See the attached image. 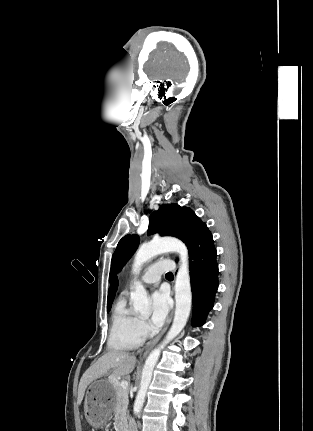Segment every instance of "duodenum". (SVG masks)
<instances>
[{
  "label": "duodenum",
  "mask_w": 313,
  "mask_h": 431,
  "mask_svg": "<svg viewBox=\"0 0 313 431\" xmlns=\"http://www.w3.org/2000/svg\"><path fill=\"white\" fill-rule=\"evenodd\" d=\"M118 431H129V429L127 425L121 424L118 428Z\"/></svg>",
  "instance_id": "obj_1"
}]
</instances>
